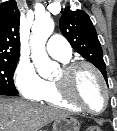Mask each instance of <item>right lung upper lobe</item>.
I'll use <instances>...</instances> for the list:
<instances>
[{"label": "right lung upper lobe", "mask_w": 117, "mask_h": 131, "mask_svg": "<svg viewBox=\"0 0 117 131\" xmlns=\"http://www.w3.org/2000/svg\"><path fill=\"white\" fill-rule=\"evenodd\" d=\"M19 21L15 0L0 4V58H19Z\"/></svg>", "instance_id": "cb5924a9"}]
</instances>
